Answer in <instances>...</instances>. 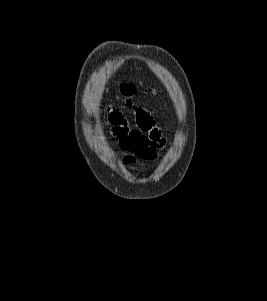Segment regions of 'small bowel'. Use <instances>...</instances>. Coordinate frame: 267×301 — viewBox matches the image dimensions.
Here are the masks:
<instances>
[{"instance_id": "small-bowel-1", "label": "small bowel", "mask_w": 267, "mask_h": 301, "mask_svg": "<svg viewBox=\"0 0 267 301\" xmlns=\"http://www.w3.org/2000/svg\"><path fill=\"white\" fill-rule=\"evenodd\" d=\"M136 128L131 129L123 113L118 109H108L106 121L111 126V134L117 139L118 147L124 152L123 162L127 166L139 161H153L158 150L165 143L160 129L151 114L145 109L135 111Z\"/></svg>"}]
</instances>
